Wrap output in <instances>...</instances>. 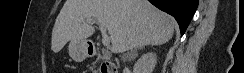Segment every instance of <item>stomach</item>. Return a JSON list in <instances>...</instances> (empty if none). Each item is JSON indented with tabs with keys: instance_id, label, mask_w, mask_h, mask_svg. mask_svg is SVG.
<instances>
[{
	"instance_id": "obj_1",
	"label": "stomach",
	"mask_w": 244,
	"mask_h": 73,
	"mask_svg": "<svg viewBox=\"0 0 244 73\" xmlns=\"http://www.w3.org/2000/svg\"><path fill=\"white\" fill-rule=\"evenodd\" d=\"M68 51L69 55L77 62L84 61L88 56V46L86 41H70Z\"/></svg>"
}]
</instances>
